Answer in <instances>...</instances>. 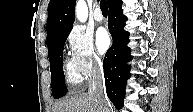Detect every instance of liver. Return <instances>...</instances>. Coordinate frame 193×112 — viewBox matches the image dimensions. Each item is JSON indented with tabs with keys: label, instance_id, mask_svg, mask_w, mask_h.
Instances as JSON below:
<instances>
[{
	"label": "liver",
	"instance_id": "liver-1",
	"mask_svg": "<svg viewBox=\"0 0 193 112\" xmlns=\"http://www.w3.org/2000/svg\"><path fill=\"white\" fill-rule=\"evenodd\" d=\"M100 110L96 97L89 93L67 97L53 107V112H100Z\"/></svg>",
	"mask_w": 193,
	"mask_h": 112
}]
</instances>
